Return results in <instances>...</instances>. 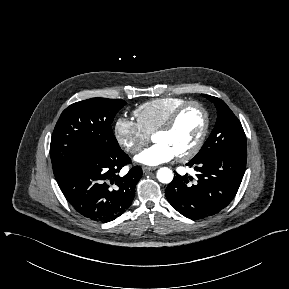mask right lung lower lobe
<instances>
[{"mask_svg": "<svg viewBox=\"0 0 289 289\" xmlns=\"http://www.w3.org/2000/svg\"><path fill=\"white\" fill-rule=\"evenodd\" d=\"M130 163L120 151L110 156L87 154L55 177L67 201L86 218L109 222L131 205L142 169L133 167L125 176L117 175Z\"/></svg>", "mask_w": 289, "mask_h": 289, "instance_id": "right-lung-lower-lobe-1", "label": "right lung lower lobe"}]
</instances>
